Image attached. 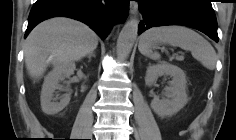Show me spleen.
<instances>
[{
    "label": "spleen",
    "mask_w": 236,
    "mask_h": 140,
    "mask_svg": "<svg viewBox=\"0 0 236 140\" xmlns=\"http://www.w3.org/2000/svg\"><path fill=\"white\" fill-rule=\"evenodd\" d=\"M158 43L168 44L191 51L194 58L209 70L216 65V53L211 44L201 35L183 26L155 27L146 31L139 42V51L153 59L159 60L160 54L151 50Z\"/></svg>",
    "instance_id": "spleen-1"
}]
</instances>
